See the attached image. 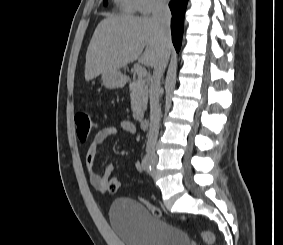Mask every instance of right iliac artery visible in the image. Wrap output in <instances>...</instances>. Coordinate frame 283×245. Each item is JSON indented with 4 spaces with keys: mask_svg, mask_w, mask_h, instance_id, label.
<instances>
[{
    "mask_svg": "<svg viewBox=\"0 0 283 245\" xmlns=\"http://www.w3.org/2000/svg\"><path fill=\"white\" fill-rule=\"evenodd\" d=\"M142 167H143V170L145 172H150L151 171V164H150V161L148 159V156H144V158L142 159Z\"/></svg>",
    "mask_w": 283,
    "mask_h": 245,
    "instance_id": "82829eb1",
    "label": "right iliac artery"
}]
</instances>
